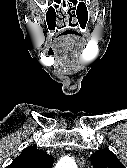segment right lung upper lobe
I'll return each instance as SVG.
<instances>
[{"label": "right lung upper lobe", "mask_w": 127, "mask_h": 168, "mask_svg": "<svg viewBox=\"0 0 127 168\" xmlns=\"http://www.w3.org/2000/svg\"><path fill=\"white\" fill-rule=\"evenodd\" d=\"M53 158L43 150L27 147L7 168H51Z\"/></svg>", "instance_id": "obj_1"}]
</instances>
